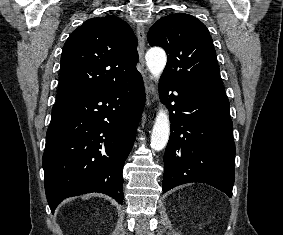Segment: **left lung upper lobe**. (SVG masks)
<instances>
[{
  "instance_id": "5c2ea615",
  "label": "left lung upper lobe",
  "mask_w": 283,
  "mask_h": 235,
  "mask_svg": "<svg viewBox=\"0 0 283 235\" xmlns=\"http://www.w3.org/2000/svg\"><path fill=\"white\" fill-rule=\"evenodd\" d=\"M148 42L167 53L162 76L205 93L225 95L212 38L197 18L188 14L165 16L150 28Z\"/></svg>"
}]
</instances>
